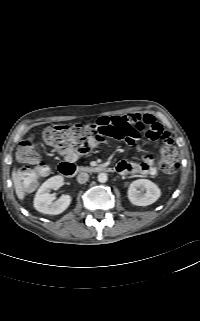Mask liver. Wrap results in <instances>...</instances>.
I'll use <instances>...</instances> for the list:
<instances>
[{"label": "liver", "mask_w": 200, "mask_h": 321, "mask_svg": "<svg viewBox=\"0 0 200 321\" xmlns=\"http://www.w3.org/2000/svg\"><path fill=\"white\" fill-rule=\"evenodd\" d=\"M12 180L14 183V188H15V192H16L17 197L20 200H23L25 198V191H24V187L21 182V176L16 171L15 168L13 169V172H12Z\"/></svg>", "instance_id": "6515ba94"}]
</instances>
